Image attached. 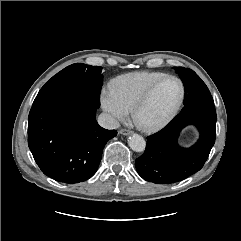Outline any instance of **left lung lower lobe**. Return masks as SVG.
Wrapping results in <instances>:
<instances>
[{"mask_svg": "<svg viewBox=\"0 0 241 241\" xmlns=\"http://www.w3.org/2000/svg\"><path fill=\"white\" fill-rule=\"evenodd\" d=\"M195 125L200 138L191 148L178 146L180 131ZM216 110L214 104H200L182 110L161 131L147 137L145 152L136 159L138 174L158 184L179 182L198 172L215 143Z\"/></svg>", "mask_w": 241, "mask_h": 241, "instance_id": "obj_1", "label": "left lung lower lobe"}]
</instances>
